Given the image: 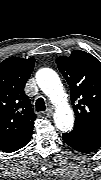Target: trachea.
<instances>
[{
    "mask_svg": "<svg viewBox=\"0 0 101 180\" xmlns=\"http://www.w3.org/2000/svg\"><path fill=\"white\" fill-rule=\"evenodd\" d=\"M37 112L44 111L46 109L43 98H38L35 103Z\"/></svg>",
    "mask_w": 101,
    "mask_h": 180,
    "instance_id": "3493384b",
    "label": "trachea"
}]
</instances>
